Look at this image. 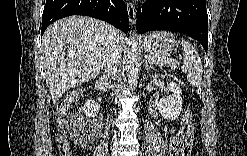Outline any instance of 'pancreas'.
<instances>
[{"instance_id":"obj_1","label":"pancreas","mask_w":247,"mask_h":156,"mask_svg":"<svg viewBox=\"0 0 247 156\" xmlns=\"http://www.w3.org/2000/svg\"><path fill=\"white\" fill-rule=\"evenodd\" d=\"M171 58L167 55H149L148 60L155 64H168L165 61L170 60Z\"/></svg>"}]
</instances>
